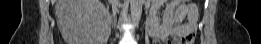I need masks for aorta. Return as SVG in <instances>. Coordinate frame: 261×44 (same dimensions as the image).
<instances>
[{
    "instance_id": "1",
    "label": "aorta",
    "mask_w": 261,
    "mask_h": 44,
    "mask_svg": "<svg viewBox=\"0 0 261 44\" xmlns=\"http://www.w3.org/2000/svg\"><path fill=\"white\" fill-rule=\"evenodd\" d=\"M142 5L143 0H130L131 16L135 25H137L141 19Z\"/></svg>"
}]
</instances>
